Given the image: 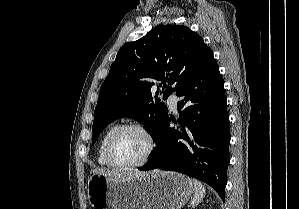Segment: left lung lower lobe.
Wrapping results in <instances>:
<instances>
[{
	"label": "left lung lower lobe",
	"instance_id": "obj_1",
	"mask_svg": "<svg viewBox=\"0 0 299 209\" xmlns=\"http://www.w3.org/2000/svg\"><path fill=\"white\" fill-rule=\"evenodd\" d=\"M176 95L183 98L178 102V110L183 109L178 128H170L173 120L165 118L153 138L156 150L139 169L172 170L197 178L214 188L224 201L230 162L229 115L214 57Z\"/></svg>",
	"mask_w": 299,
	"mask_h": 209
}]
</instances>
